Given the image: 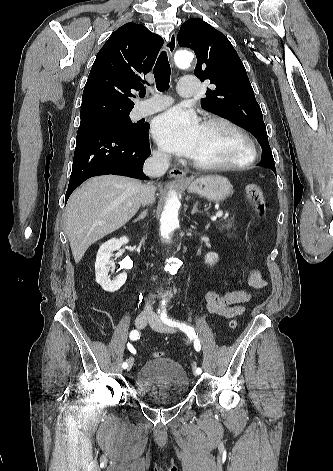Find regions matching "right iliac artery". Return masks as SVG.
I'll use <instances>...</instances> for the list:
<instances>
[{"mask_svg":"<svg viewBox=\"0 0 333 471\" xmlns=\"http://www.w3.org/2000/svg\"><path fill=\"white\" fill-rule=\"evenodd\" d=\"M129 337H130L131 340H137V339L140 338V333H139L138 330L134 329L130 332ZM127 366H128V363L123 362L122 367L125 369V368H127Z\"/></svg>","mask_w":333,"mask_h":471,"instance_id":"obj_1","label":"right iliac artery"}]
</instances>
